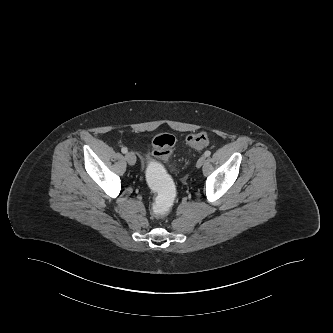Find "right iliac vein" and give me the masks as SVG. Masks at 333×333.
I'll return each mask as SVG.
<instances>
[{
	"label": "right iliac vein",
	"mask_w": 333,
	"mask_h": 333,
	"mask_svg": "<svg viewBox=\"0 0 333 333\" xmlns=\"http://www.w3.org/2000/svg\"><path fill=\"white\" fill-rule=\"evenodd\" d=\"M125 158L129 165H134L136 163V156L133 152H128Z\"/></svg>",
	"instance_id": "obj_1"
}]
</instances>
